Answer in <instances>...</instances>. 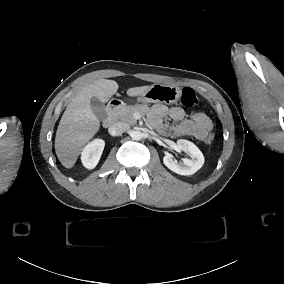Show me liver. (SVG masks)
Masks as SVG:
<instances>
[{"label":"liver","mask_w":284,"mask_h":284,"mask_svg":"<svg viewBox=\"0 0 284 284\" xmlns=\"http://www.w3.org/2000/svg\"><path fill=\"white\" fill-rule=\"evenodd\" d=\"M153 85L128 88V97L145 96ZM119 85L114 80L100 79L82 86L67 105L56 130L54 149L61 165L72 169L85 146L94 139L101 122L92 109V99L108 104L118 94Z\"/></svg>","instance_id":"obj_1"}]
</instances>
